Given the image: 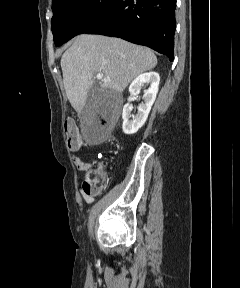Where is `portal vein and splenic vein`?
I'll list each match as a JSON object with an SVG mask.
<instances>
[{"label":"portal vein and splenic vein","mask_w":240,"mask_h":288,"mask_svg":"<svg viewBox=\"0 0 240 288\" xmlns=\"http://www.w3.org/2000/svg\"><path fill=\"white\" fill-rule=\"evenodd\" d=\"M97 79L103 80V81H110L108 78H106L102 73H97L96 75Z\"/></svg>","instance_id":"obj_1"}]
</instances>
